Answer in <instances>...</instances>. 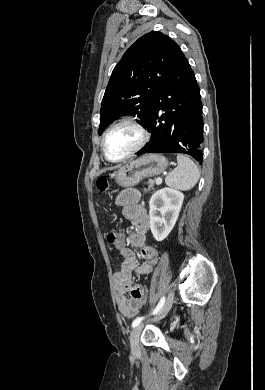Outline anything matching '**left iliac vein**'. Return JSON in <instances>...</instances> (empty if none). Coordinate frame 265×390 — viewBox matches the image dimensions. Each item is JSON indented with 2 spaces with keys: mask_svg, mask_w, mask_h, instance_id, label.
Wrapping results in <instances>:
<instances>
[{
  "mask_svg": "<svg viewBox=\"0 0 265 390\" xmlns=\"http://www.w3.org/2000/svg\"><path fill=\"white\" fill-rule=\"evenodd\" d=\"M173 299H174V295H173V293H170L168 295L166 301L164 302L163 307L161 308V310L157 314V316L155 318L156 321L160 320L166 316V314L169 312V310L172 306ZM143 326H144L143 324H140V325L136 326L131 332L130 346H131V351H132L133 355H139V353H140L139 338H140Z\"/></svg>",
  "mask_w": 265,
  "mask_h": 390,
  "instance_id": "obj_1",
  "label": "left iliac vein"
}]
</instances>
